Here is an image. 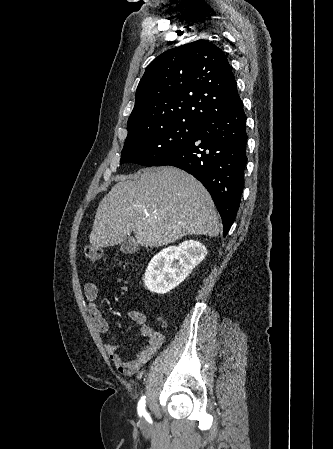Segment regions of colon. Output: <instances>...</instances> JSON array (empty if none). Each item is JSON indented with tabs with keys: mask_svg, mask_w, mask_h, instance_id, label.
<instances>
[{
	"mask_svg": "<svg viewBox=\"0 0 333 449\" xmlns=\"http://www.w3.org/2000/svg\"><path fill=\"white\" fill-rule=\"evenodd\" d=\"M102 250L95 246H89L85 249L84 255L89 264H96L102 258Z\"/></svg>",
	"mask_w": 333,
	"mask_h": 449,
	"instance_id": "colon-1",
	"label": "colon"
}]
</instances>
